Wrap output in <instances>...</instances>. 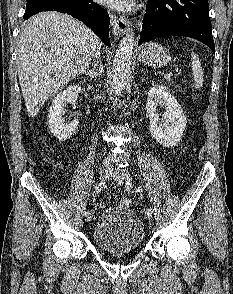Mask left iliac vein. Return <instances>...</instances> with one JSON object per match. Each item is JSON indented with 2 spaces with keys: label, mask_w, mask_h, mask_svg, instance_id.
<instances>
[{
  "label": "left iliac vein",
  "mask_w": 233,
  "mask_h": 294,
  "mask_svg": "<svg viewBox=\"0 0 233 294\" xmlns=\"http://www.w3.org/2000/svg\"><path fill=\"white\" fill-rule=\"evenodd\" d=\"M110 177L113 178L118 184H123L124 180L129 179V173L121 168L111 170ZM145 217L148 220L152 219V214L145 212Z\"/></svg>",
  "instance_id": "1"
}]
</instances>
